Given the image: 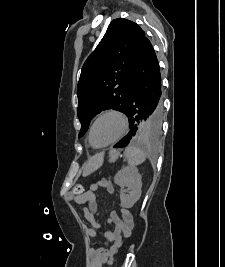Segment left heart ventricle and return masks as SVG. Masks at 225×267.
I'll use <instances>...</instances> for the list:
<instances>
[{
	"label": "left heart ventricle",
	"instance_id": "b2bd125f",
	"mask_svg": "<svg viewBox=\"0 0 225 267\" xmlns=\"http://www.w3.org/2000/svg\"><path fill=\"white\" fill-rule=\"evenodd\" d=\"M122 128V122L116 115L100 118L92 131V142L96 146L106 144L116 138Z\"/></svg>",
	"mask_w": 225,
	"mask_h": 267
}]
</instances>
